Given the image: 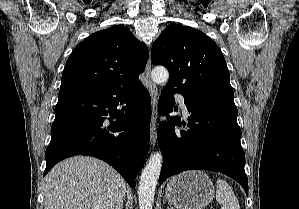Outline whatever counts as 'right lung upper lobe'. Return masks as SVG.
Returning a JSON list of instances; mask_svg holds the SVG:
<instances>
[{
	"label": "right lung upper lobe",
	"instance_id": "1",
	"mask_svg": "<svg viewBox=\"0 0 299 209\" xmlns=\"http://www.w3.org/2000/svg\"><path fill=\"white\" fill-rule=\"evenodd\" d=\"M146 45L124 26L93 33L69 56L61 79L62 91H92L105 86L134 87L145 69Z\"/></svg>",
	"mask_w": 299,
	"mask_h": 209
}]
</instances>
